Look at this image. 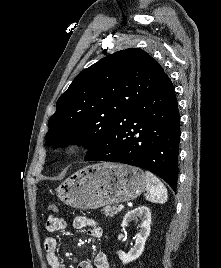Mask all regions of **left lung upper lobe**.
Instances as JSON below:
<instances>
[{"mask_svg":"<svg viewBox=\"0 0 221 268\" xmlns=\"http://www.w3.org/2000/svg\"><path fill=\"white\" fill-rule=\"evenodd\" d=\"M170 82L158 62L141 49L102 58L80 72L58 99L48 122L47 144L57 148L83 143L87 161L129 109Z\"/></svg>","mask_w":221,"mask_h":268,"instance_id":"obj_1","label":"left lung upper lobe"}]
</instances>
